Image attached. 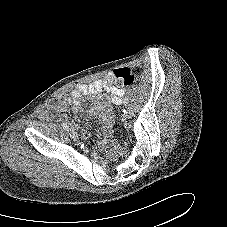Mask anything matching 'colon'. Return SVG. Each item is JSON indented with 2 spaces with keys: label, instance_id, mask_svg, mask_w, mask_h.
Returning <instances> with one entry per match:
<instances>
[{
  "label": "colon",
  "instance_id": "colon-1",
  "mask_svg": "<svg viewBox=\"0 0 227 227\" xmlns=\"http://www.w3.org/2000/svg\"><path fill=\"white\" fill-rule=\"evenodd\" d=\"M137 80V76L127 68H121L114 71V84L118 88L127 87L133 84ZM98 108L100 111L105 112L109 108V99L105 95H101L98 98ZM113 150L116 154H123L122 149L117 145H113Z\"/></svg>",
  "mask_w": 227,
  "mask_h": 227
}]
</instances>
